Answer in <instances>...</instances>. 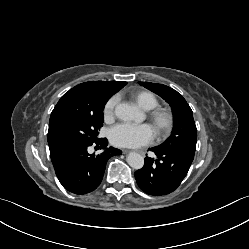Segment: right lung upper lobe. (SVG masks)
Returning <instances> with one entry per match:
<instances>
[{
    "mask_svg": "<svg viewBox=\"0 0 249 249\" xmlns=\"http://www.w3.org/2000/svg\"><path fill=\"white\" fill-rule=\"evenodd\" d=\"M125 85L126 82L119 81H90L73 87L61 97L49 121L48 144L51 160L57 158L65 150L58 135L61 122L70 116L92 112L97 98L109 99Z\"/></svg>",
    "mask_w": 249,
    "mask_h": 249,
    "instance_id": "obj_1",
    "label": "right lung upper lobe"
}]
</instances>
